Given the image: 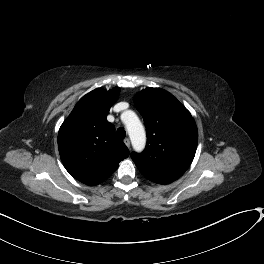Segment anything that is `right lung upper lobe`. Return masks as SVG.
Segmentation results:
<instances>
[{
	"label": "right lung upper lobe",
	"mask_w": 264,
	"mask_h": 264,
	"mask_svg": "<svg viewBox=\"0 0 264 264\" xmlns=\"http://www.w3.org/2000/svg\"><path fill=\"white\" fill-rule=\"evenodd\" d=\"M119 93L118 87L91 91L78 101L59 129L58 148L63 165L72 177L86 185L103 182L129 156L128 148L107 121Z\"/></svg>",
	"instance_id": "obj_1"
}]
</instances>
